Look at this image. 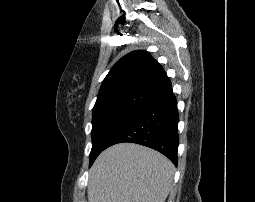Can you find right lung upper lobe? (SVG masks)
I'll return each instance as SVG.
<instances>
[{
  "instance_id": "obj_1",
  "label": "right lung upper lobe",
  "mask_w": 255,
  "mask_h": 202,
  "mask_svg": "<svg viewBox=\"0 0 255 202\" xmlns=\"http://www.w3.org/2000/svg\"><path fill=\"white\" fill-rule=\"evenodd\" d=\"M172 93L171 82L161 65L144 50L122 57L105 77L93 115L115 110L139 111Z\"/></svg>"
}]
</instances>
